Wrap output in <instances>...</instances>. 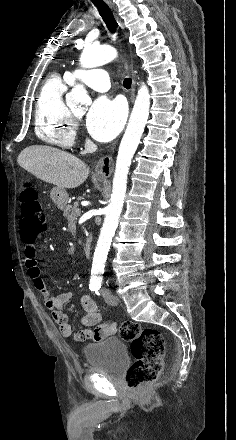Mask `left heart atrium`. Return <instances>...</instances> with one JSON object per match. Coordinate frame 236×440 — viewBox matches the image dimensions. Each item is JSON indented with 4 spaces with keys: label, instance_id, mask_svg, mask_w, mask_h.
Wrapping results in <instances>:
<instances>
[{
    "label": "left heart atrium",
    "instance_id": "obj_1",
    "mask_svg": "<svg viewBox=\"0 0 236 440\" xmlns=\"http://www.w3.org/2000/svg\"><path fill=\"white\" fill-rule=\"evenodd\" d=\"M125 118L126 110L121 100L101 96L90 107L87 130L97 141L108 142L120 132Z\"/></svg>",
    "mask_w": 236,
    "mask_h": 440
}]
</instances>
